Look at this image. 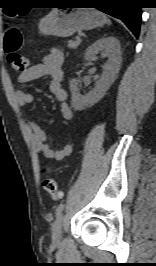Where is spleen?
Masks as SVG:
<instances>
[{"label": "spleen", "instance_id": "1", "mask_svg": "<svg viewBox=\"0 0 156 266\" xmlns=\"http://www.w3.org/2000/svg\"><path fill=\"white\" fill-rule=\"evenodd\" d=\"M105 22L107 23V24H111V21L109 20V19H107V18H105Z\"/></svg>", "mask_w": 156, "mask_h": 266}]
</instances>
